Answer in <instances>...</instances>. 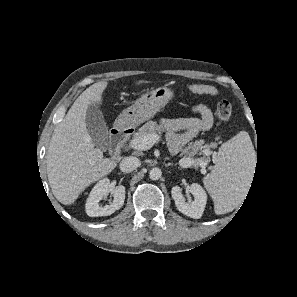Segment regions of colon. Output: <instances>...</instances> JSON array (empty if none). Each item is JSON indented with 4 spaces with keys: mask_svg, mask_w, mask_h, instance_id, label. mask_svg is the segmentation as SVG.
I'll list each match as a JSON object with an SVG mask.
<instances>
[{
    "mask_svg": "<svg viewBox=\"0 0 297 297\" xmlns=\"http://www.w3.org/2000/svg\"><path fill=\"white\" fill-rule=\"evenodd\" d=\"M189 91L193 94H210L215 95V91H213L209 86L201 85V84H193L189 87ZM215 116L220 121H227L232 116V107L231 104L226 100L218 101L215 110Z\"/></svg>",
    "mask_w": 297,
    "mask_h": 297,
    "instance_id": "colon-1",
    "label": "colon"
}]
</instances>
